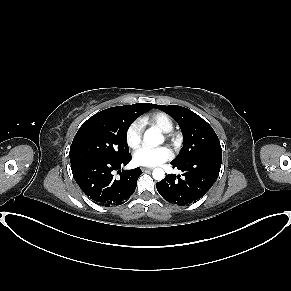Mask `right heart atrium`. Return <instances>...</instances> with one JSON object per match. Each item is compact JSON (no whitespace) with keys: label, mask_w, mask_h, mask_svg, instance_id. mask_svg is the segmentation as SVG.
Here are the masks:
<instances>
[{"label":"right heart atrium","mask_w":291,"mask_h":291,"mask_svg":"<svg viewBox=\"0 0 291 291\" xmlns=\"http://www.w3.org/2000/svg\"><path fill=\"white\" fill-rule=\"evenodd\" d=\"M142 134H143L142 122L139 120L132 121L125 131V140L127 145L130 148L137 147L142 140Z\"/></svg>","instance_id":"d8ad5b80"}]
</instances>
